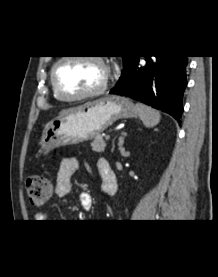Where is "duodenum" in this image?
I'll return each mask as SVG.
<instances>
[{"mask_svg": "<svg viewBox=\"0 0 218 277\" xmlns=\"http://www.w3.org/2000/svg\"><path fill=\"white\" fill-rule=\"evenodd\" d=\"M99 171L103 180V183H113L115 182V190L111 194H106L108 196L113 195L116 192V180H115V175L111 169L110 164L106 160L100 161L99 164Z\"/></svg>", "mask_w": 218, "mask_h": 277, "instance_id": "obj_1", "label": "duodenum"}]
</instances>
